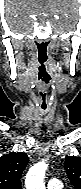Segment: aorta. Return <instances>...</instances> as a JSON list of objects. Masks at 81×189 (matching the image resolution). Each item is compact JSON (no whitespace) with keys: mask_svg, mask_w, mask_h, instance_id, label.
I'll use <instances>...</instances> for the list:
<instances>
[{"mask_svg":"<svg viewBox=\"0 0 81 189\" xmlns=\"http://www.w3.org/2000/svg\"><path fill=\"white\" fill-rule=\"evenodd\" d=\"M47 169L45 161L34 164L25 179L26 189H45L44 176Z\"/></svg>","mask_w":81,"mask_h":189,"instance_id":"762f6f07","label":"aorta"}]
</instances>
